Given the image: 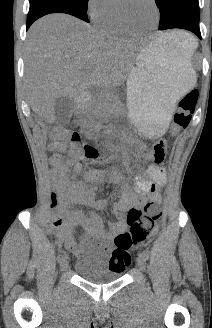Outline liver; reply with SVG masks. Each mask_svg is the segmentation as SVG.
<instances>
[{"label":"liver","mask_w":212,"mask_h":328,"mask_svg":"<svg viewBox=\"0 0 212 328\" xmlns=\"http://www.w3.org/2000/svg\"><path fill=\"white\" fill-rule=\"evenodd\" d=\"M176 31L156 40H169ZM138 48L132 39L112 37L66 14L37 20L26 40L25 78L32 110L48 123L55 121L54 102L76 98L90 87L112 90L134 68Z\"/></svg>","instance_id":"liver-1"}]
</instances>
